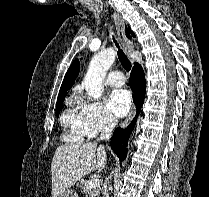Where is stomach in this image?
<instances>
[{"instance_id":"obj_1","label":"stomach","mask_w":209,"mask_h":197,"mask_svg":"<svg viewBox=\"0 0 209 197\" xmlns=\"http://www.w3.org/2000/svg\"><path fill=\"white\" fill-rule=\"evenodd\" d=\"M59 197H78V195L74 190H66Z\"/></svg>"}]
</instances>
